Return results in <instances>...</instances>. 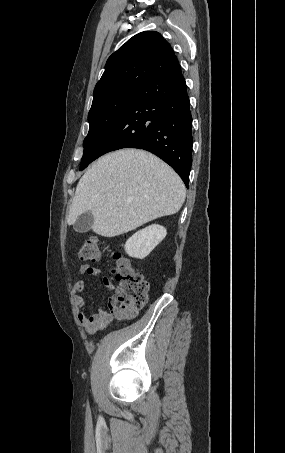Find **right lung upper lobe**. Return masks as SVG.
<instances>
[{"mask_svg": "<svg viewBox=\"0 0 285 453\" xmlns=\"http://www.w3.org/2000/svg\"><path fill=\"white\" fill-rule=\"evenodd\" d=\"M177 64L172 47L160 33L144 31L133 36L108 58L94 89L92 107L139 91L153 76Z\"/></svg>", "mask_w": 285, "mask_h": 453, "instance_id": "right-lung-upper-lobe-1", "label": "right lung upper lobe"}]
</instances>
